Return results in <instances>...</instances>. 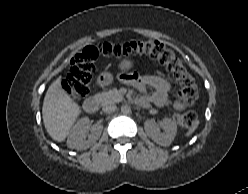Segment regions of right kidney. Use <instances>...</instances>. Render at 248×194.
<instances>
[{
	"instance_id": "right-kidney-1",
	"label": "right kidney",
	"mask_w": 248,
	"mask_h": 194,
	"mask_svg": "<svg viewBox=\"0 0 248 194\" xmlns=\"http://www.w3.org/2000/svg\"><path fill=\"white\" fill-rule=\"evenodd\" d=\"M89 130L91 131V134L88 135V139H86V134ZM102 130L103 125L94 124L90 127L89 119L87 117L81 118L73 126L68 136L67 145L72 149L85 150L100 138Z\"/></svg>"
}]
</instances>
